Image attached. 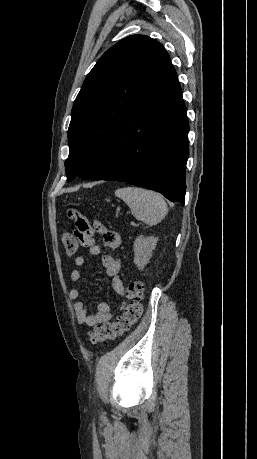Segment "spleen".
<instances>
[{
    "label": "spleen",
    "mask_w": 257,
    "mask_h": 459,
    "mask_svg": "<svg viewBox=\"0 0 257 459\" xmlns=\"http://www.w3.org/2000/svg\"><path fill=\"white\" fill-rule=\"evenodd\" d=\"M131 209L132 215L150 226L161 222L168 213V207L162 195L138 187H124L115 191Z\"/></svg>",
    "instance_id": "spleen-1"
}]
</instances>
